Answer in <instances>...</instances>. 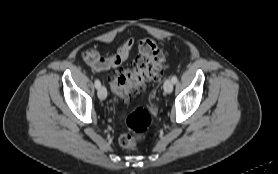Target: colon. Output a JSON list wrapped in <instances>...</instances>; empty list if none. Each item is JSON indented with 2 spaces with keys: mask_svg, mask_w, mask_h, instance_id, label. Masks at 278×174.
Listing matches in <instances>:
<instances>
[{
  "mask_svg": "<svg viewBox=\"0 0 278 174\" xmlns=\"http://www.w3.org/2000/svg\"><path fill=\"white\" fill-rule=\"evenodd\" d=\"M165 67V54L158 43L145 38L139 42V56L131 67L123 68L111 78L115 95L129 101L149 84L157 82ZM151 124V114L143 107L136 108L127 118L128 132L121 135L119 142L123 148L134 149L143 139Z\"/></svg>",
  "mask_w": 278,
  "mask_h": 174,
  "instance_id": "5ec220e1",
  "label": "colon"
}]
</instances>
